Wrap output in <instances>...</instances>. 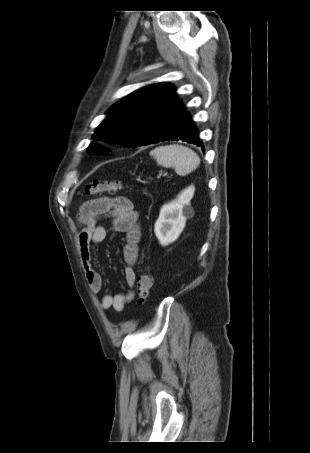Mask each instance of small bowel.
<instances>
[{
    "label": "small bowel",
    "instance_id": "small-bowel-1",
    "mask_svg": "<svg viewBox=\"0 0 310 453\" xmlns=\"http://www.w3.org/2000/svg\"><path fill=\"white\" fill-rule=\"evenodd\" d=\"M103 218L111 220L114 231L125 234L123 257L125 261L124 276L129 290L124 294H105L100 301V307L107 310L113 307L117 311L123 310L133 297V287L136 281L135 265L138 260V244L141 231L139 214L133 203L126 197H99L85 201L78 211V221L82 225L78 236L81 260L85 277L93 293L98 294L103 288V279L99 272L92 267L90 245L105 240L106 227L100 222Z\"/></svg>",
    "mask_w": 310,
    "mask_h": 453
}]
</instances>
